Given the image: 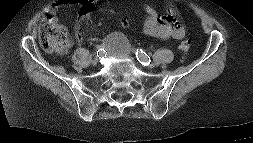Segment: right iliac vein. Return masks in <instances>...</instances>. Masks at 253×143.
<instances>
[{
	"label": "right iliac vein",
	"mask_w": 253,
	"mask_h": 143,
	"mask_svg": "<svg viewBox=\"0 0 253 143\" xmlns=\"http://www.w3.org/2000/svg\"><path fill=\"white\" fill-rule=\"evenodd\" d=\"M97 62H98V61H97V59L95 58V59L92 61V64H93V65H97Z\"/></svg>",
	"instance_id": "obj_1"
}]
</instances>
